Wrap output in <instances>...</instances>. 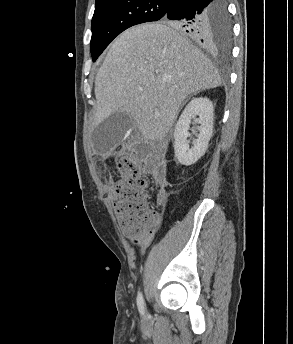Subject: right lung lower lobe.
<instances>
[{
	"instance_id": "1",
	"label": "right lung lower lobe",
	"mask_w": 293,
	"mask_h": 344,
	"mask_svg": "<svg viewBox=\"0 0 293 344\" xmlns=\"http://www.w3.org/2000/svg\"><path fill=\"white\" fill-rule=\"evenodd\" d=\"M218 0H173L164 20H174L180 24L179 29L187 32L197 43H212L209 19Z\"/></svg>"
}]
</instances>
